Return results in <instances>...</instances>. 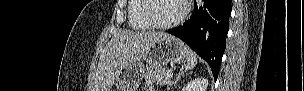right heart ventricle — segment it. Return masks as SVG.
Returning <instances> with one entry per match:
<instances>
[{"label": "right heart ventricle", "mask_w": 304, "mask_h": 91, "mask_svg": "<svg viewBox=\"0 0 304 91\" xmlns=\"http://www.w3.org/2000/svg\"><path fill=\"white\" fill-rule=\"evenodd\" d=\"M142 0H130L128 4V23L134 30H148L150 25L143 19L142 16Z\"/></svg>", "instance_id": "right-heart-ventricle-1"}]
</instances>
